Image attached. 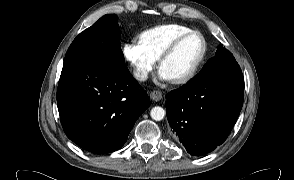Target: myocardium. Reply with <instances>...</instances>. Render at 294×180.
<instances>
[{"label":"myocardium","instance_id":"myocardium-1","mask_svg":"<svg viewBox=\"0 0 294 180\" xmlns=\"http://www.w3.org/2000/svg\"><path fill=\"white\" fill-rule=\"evenodd\" d=\"M193 35L199 36L202 40L203 47H202L201 55L199 56L196 63L193 65L191 70L186 75H184L183 77H181L179 79L171 80V82L175 85H183V84L190 82L196 76L200 67L202 66V64L206 58L207 50H208L207 40H206L204 34L198 30H191L187 33L180 35L165 49V51L161 54V56L159 58L158 64H159V68L161 69L163 63L168 58H170L172 56V54L176 51V49L180 46V44L183 41H185L187 38H189L190 36H193Z\"/></svg>","mask_w":294,"mask_h":180}]
</instances>
